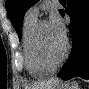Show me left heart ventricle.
I'll use <instances>...</instances> for the list:
<instances>
[{"mask_svg": "<svg viewBox=\"0 0 89 89\" xmlns=\"http://www.w3.org/2000/svg\"><path fill=\"white\" fill-rule=\"evenodd\" d=\"M41 43L43 51L50 61H55L63 50V40L54 34L49 22L43 24Z\"/></svg>", "mask_w": 89, "mask_h": 89, "instance_id": "obj_1", "label": "left heart ventricle"}]
</instances>
